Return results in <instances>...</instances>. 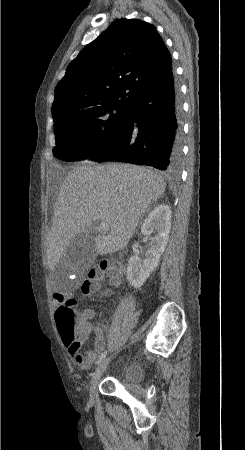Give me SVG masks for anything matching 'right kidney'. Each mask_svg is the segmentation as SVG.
Returning <instances> with one entry per match:
<instances>
[{
	"mask_svg": "<svg viewBox=\"0 0 245 450\" xmlns=\"http://www.w3.org/2000/svg\"><path fill=\"white\" fill-rule=\"evenodd\" d=\"M171 229V209L166 204H160L145 218L141 233L151 237V244L147 251V257L132 256L128 262L127 279L135 288H140L158 266L161 255L169 239Z\"/></svg>",
	"mask_w": 245,
	"mask_h": 450,
	"instance_id": "right-kidney-1",
	"label": "right kidney"
}]
</instances>
